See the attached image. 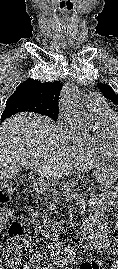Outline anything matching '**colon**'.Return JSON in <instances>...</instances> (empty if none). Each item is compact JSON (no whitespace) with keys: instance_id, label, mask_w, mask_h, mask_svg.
<instances>
[{"instance_id":"1","label":"colon","mask_w":118,"mask_h":269,"mask_svg":"<svg viewBox=\"0 0 118 269\" xmlns=\"http://www.w3.org/2000/svg\"><path fill=\"white\" fill-rule=\"evenodd\" d=\"M12 187L0 185V206L6 204L11 196ZM35 207L34 203H31ZM118 229V221L116 225ZM22 225L13 222L10 225V237L5 241L4 251L0 254V269H20L30 262L32 250L29 240L21 234Z\"/></svg>"}]
</instances>
